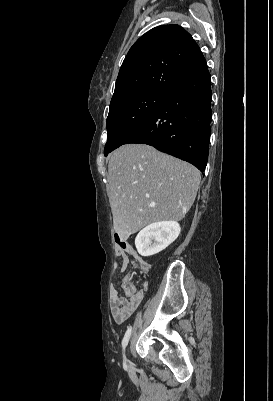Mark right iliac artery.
I'll list each match as a JSON object with an SVG mask.
<instances>
[{"label": "right iliac artery", "instance_id": "1", "mask_svg": "<svg viewBox=\"0 0 273 401\" xmlns=\"http://www.w3.org/2000/svg\"><path fill=\"white\" fill-rule=\"evenodd\" d=\"M131 331H132V328L129 327L128 330H127L126 333H125V336H124L123 340H122L123 358H124V368H125L126 370H127V365H126L125 348H126V346L128 345V342H129V339H130V336H131Z\"/></svg>", "mask_w": 273, "mask_h": 401}]
</instances>
